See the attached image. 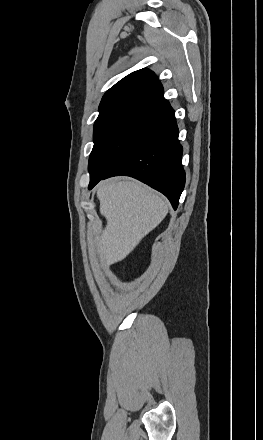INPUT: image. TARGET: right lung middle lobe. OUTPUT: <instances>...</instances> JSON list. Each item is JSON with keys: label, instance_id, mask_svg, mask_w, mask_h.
Wrapping results in <instances>:
<instances>
[{"label": "right lung middle lobe", "instance_id": "1", "mask_svg": "<svg viewBox=\"0 0 263 440\" xmlns=\"http://www.w3.org/2000/svg\"><path fill=\"white\" fill-rule=\"evenodd\" d=\"M160 111L158 106L115 108L99 114L89 157L90 179L105 175Z\"/></svg>", "mask_w": 263, "mask_h": 440}]
</instances>
